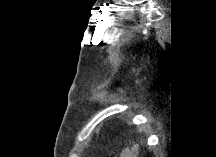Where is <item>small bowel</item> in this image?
Listing matches in <instances>:
<instances>
[{
    "label": "small bowel",
    "mask_w": 216,
    "mask_h": 157,
    "mask_svg": "<svg viewBox=\"0 0 216 157\" xmlns=\"http://www.w3.org/2000/svg\"><path fill=\"white\" fill-rule=\"evenodd\" d=\"M138 148L136 146L131 148H126L122 151L121 157H135L137 156Z\"/></svg>",
    "instance_id": "1"
}]
</instances>
